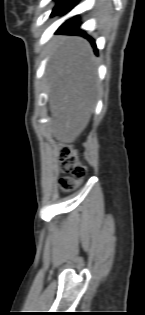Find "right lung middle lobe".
Listing matches in <instances>:
<instances>
[{
  "instance_id": "obj_1",
  "label": "right lung middle lobe",
  "mask_w": 145,
  "mask_h": 315,
  "mask_svg": "<svg viewBox=\"0 0 145 315\" xmlns=\"http://www.w3.org/2000/svg\"><path fill=\"white\" fill-rule=\"evenodd\" d=\"M67 1L68 0H57V4L54 7L51 16H54L55 14H57Z\"/></svg>"
}]
</instances>
